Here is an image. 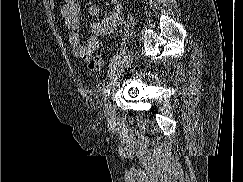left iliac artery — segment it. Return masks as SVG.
Returning <instances> with one entry per match:
<instances>
[{
	"label": "left iliac artery",
	"instance_id": "left-iliac-artery-1",
	"mask_svg": "<svg viewBox=\"0 0 243 182\" xmlns=\"http://www.w3.org/2000/svg\"><path fill=\"white\" fill-rule=\"evenodd\" d=\"M109 93H110V87L107 86L103 91L104 99H106L109 96Z\"/></svg>",
	"mask_w": 243,
	"mask_h": 182
}]
</instances>
